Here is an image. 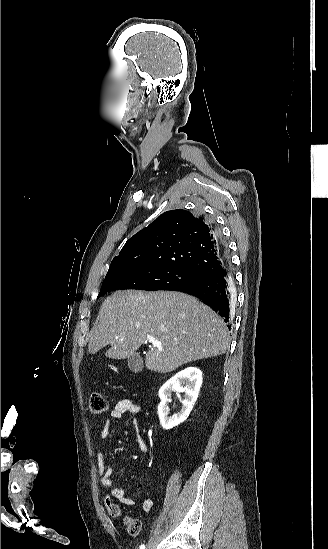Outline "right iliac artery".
Instances as JSON below:
<instances>
[{"mask_svg":"<svg viewBox=\"0 0 328 549\" xmlns=\"http://www.w3.org/2000/svg\"><path fill=\"white\" fill-rule=\"evenodd\" d=\"M140 549H145V545H141V546H140Z\"/></svg>","mask_w":328,"mask_h":549,"instance_id":"1","label":"right iliac artery"}]
</instances>
